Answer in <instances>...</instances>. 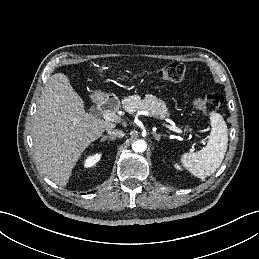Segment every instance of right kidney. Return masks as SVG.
Masks as SVG:
<instances>
[{"instance_id":"ca27d5eb","label":"right kidney","mask_w":259,"mask_h":259,"mask_svg":"<svg viewBox=\"0 0 259 259\" xmlns=\"http://www.w3.org/2000/svg\"><path fill=\"white\" fill-rule=\"evenodd\" d=\"M101 158V154L97 153L91 156H88L84 161V166L86 168L94 166Z\"/></svg>"}]
</instances>
